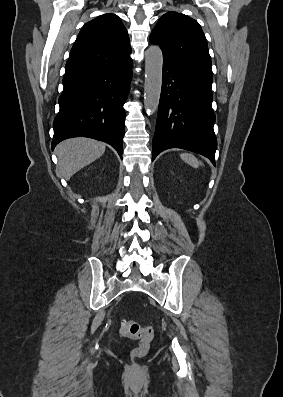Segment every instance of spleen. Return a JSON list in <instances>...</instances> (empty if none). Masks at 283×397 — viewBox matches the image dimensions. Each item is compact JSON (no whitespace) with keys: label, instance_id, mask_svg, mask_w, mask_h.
<instances>
[{"label":"spleen","instance_id":"3e777b00","mask_svg":"<svg viewBox=\"0 0 283 397\" xmlns=\"http://www.w3.org/2000/svg\"><path fill=\"white\" fill-rule=\"evenodd\" d=\"M181 159L189 164L190 166L197 168L199 165H203L201 161H199L194 155L190 153L180 154Z\"/></svg>","mask_w":283,"mask_h":397}]
</instances>
